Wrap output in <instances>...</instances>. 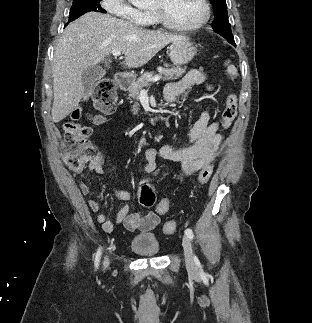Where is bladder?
<instances>
[{
    "label": "bladder",
    "instance_id": "bladder-1",
    "mask_svg": "<svg viewBox=\"0 0 312 323\" xmlns=\"http://www.w3.org/2000/svg\"><path fill=\"white\" fill-rule=\"evenodd\" d=\"M130 249L136 251L139 256H155L160 253V246L155 234L133 236Z\"/></svg>",
    "mask_w": 312,
    "mask_h": 323
}]
</instances>
